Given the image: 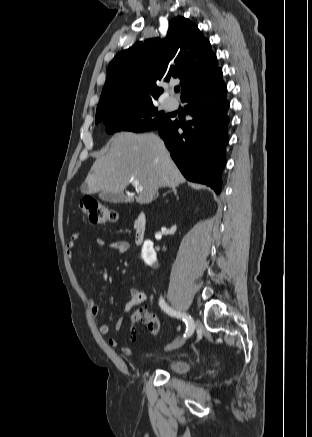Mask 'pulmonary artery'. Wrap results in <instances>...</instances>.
Listing matches in <instances>:
<instances>
[{
  "instance_id": "e3ab8cb5",
  "label": "pulmonary artery",
  "mask_w": 312,
  "mask_h": 437,
  "mask_svg": "<svg viewBox=\"0 0 312 437\" xmlns=\"http://www.w3.org/2000/svg\"><path fill=\"white\" fill-rule=\"evenodd\" d=\"M166 104L169 109H175L177 107V103L175 101H168Z\"/></svg>"
}]
</instances>
